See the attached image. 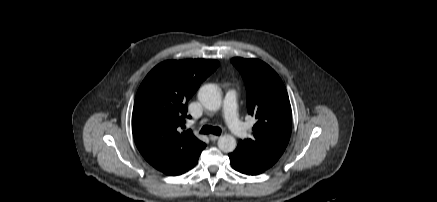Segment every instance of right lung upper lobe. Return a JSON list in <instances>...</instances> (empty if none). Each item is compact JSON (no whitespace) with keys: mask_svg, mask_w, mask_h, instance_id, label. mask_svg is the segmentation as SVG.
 Listing matches in <instances>:
<instances>
[{"mask_svg":"<svg viewBox=\"0 0 437 202\" xmlns=\"http://www.w3.org/2000/svg\"><path fill=\"white\" fill-rule=\"evenodd\" d=\"M219 62L205 59L168 60L154 67L141 83L134 101L132 132L145 160L172 175L206 145L182 131L187 103Z\"/></svg>","mask_w":437,"mask_h":202,"instance_id":"cb5924a9","label":"right lung upper lobe"}]
</instances>
